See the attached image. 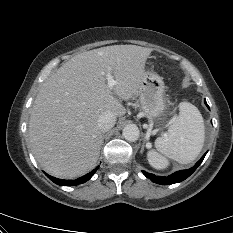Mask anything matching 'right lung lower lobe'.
Here are the masks:
<instances>
[{"instance_id": "right-lung-lower-lobe-1", "label": "right lung lower lobe", "mask_w": 233, "mask_h": 233, "mask_svg": "<svg viewBox=\"0 0 233 233\" xmlns=\"http://www.w3.org/2000/svg\"><path fill=\"white\" fill-rule=\"evenodd\" d=\"M97 169H98V167L96 169H94L93 171L89 172L88 174L76 179L75 181L57 179V178L49 176L47 174L46 175L50 180H52L54 183H56L60 186L77 185V184H82V183L88 181L93 176V174L97 171Z\"/></svg>"}]
</instances>
